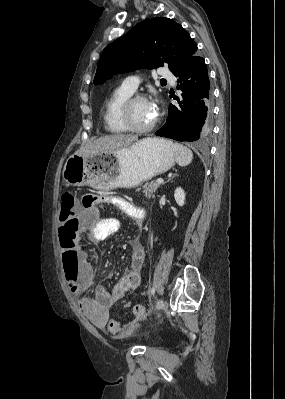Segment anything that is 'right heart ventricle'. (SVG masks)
Segmentation results:
<instances>
[{
  "mask_svg": "<svg viewBox=\"0 0 285 399\" xmlns=\"http://www.w3.org/2000/svg\"><path fill=\"white\" fill-rule=\"evenodd\" d=\"M132 95V92L117 87L105 102L104 124L105 128L113 134H125L129 132L121 119V108L124 102Z\"/></svg>",
  "mask_w": 285,
  "mask_h": 399,
  "instance_id": "1",
  "label": "right heart ventricle"
}]
</instances>
